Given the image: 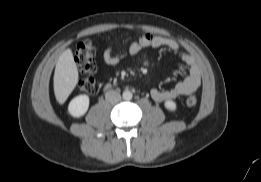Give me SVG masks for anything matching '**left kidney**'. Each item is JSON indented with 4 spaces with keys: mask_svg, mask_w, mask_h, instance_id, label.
I'll use <instances>...</instances> for the list:
<instances>
[{
    "mask_svg": "<svg viewBox=\"0 0 261 182\" xmlns=\"http://www.w3.org/2000/svg\"><path fill=\"white\" fill-rule=\"evenodd\" d=\"M164 106L169 111H175L177 109L176 103L172 100H166Z\"/></svg>",
    "mask_w": 261,
    "mask_h": 182,
    "instance_id": "1",
    "label": "left kidney"
}]
</instances>
